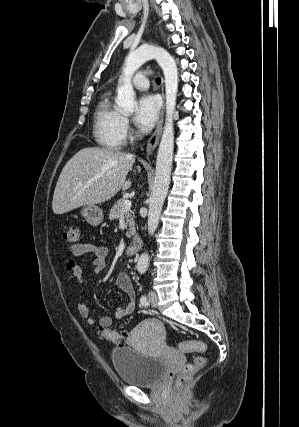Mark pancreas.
Here are the masks:
<instances>
[{
	"label": "pancreas",
	"instance_id": "1",
	"mask_svg": "<svg viewBox=\"0 0 299 427\" xmlns=\"http://www.w3.org/2000/svg\"><path fill=\"white\" fill-rule=\"evenodd\" d=\"M124 199H120L117 201V203L111 208L109 213V219L110 220H118L121 215H123L125 219L126 227H128V231L126 232V236L128 238L135 235V222L134 218L132 217L130 211L122 212V207L124 204Z\"/></svg>",
	"mask_w": 299,
	"mask_h": 427
}]
</instances>
